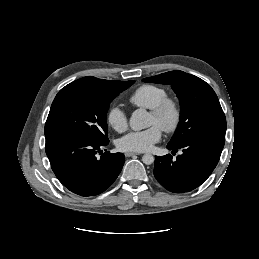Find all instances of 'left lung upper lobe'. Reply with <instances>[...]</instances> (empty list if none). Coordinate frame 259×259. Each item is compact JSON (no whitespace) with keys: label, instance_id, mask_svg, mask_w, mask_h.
Returning a JSON list of instances; mask_svg holds the SVG:
<instances>
[{"label":"left lung upper lobe","instance_id":"1","mask_svg":"<svg viewBox=\"0 0 259 259\" xmlns=\"http://www.w3.org/2000/svg\"><path fill=\"white\" fill-rule=\"evenodd\" d=\"M144 82L170 84L181 105L179 125L168 143L179 147L201 134L225 136L226 118L214 90L202 79L175 70L143 79Z\"/></svg>","mask_w":259,"mask_h":259}]
</instances>
